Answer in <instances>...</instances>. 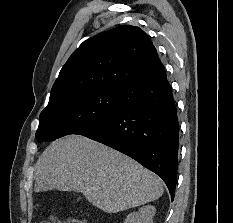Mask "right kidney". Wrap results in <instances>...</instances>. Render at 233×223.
<instances>
[{"label":"right kidney","mask_w":233,"mask_h":223,"mask_svg":"<svg viewBox=\"0 0 233 223\" xmlns=\"http://www.w3.org/2000/svg\"><path fill=\"white\" fill-rule=\"evenodd\" d=\"M156 209L154 205H143L139 211H132L128 213L124 223H153Z\"/></svg>","instance_id":"obj_1"}]
</instances>
